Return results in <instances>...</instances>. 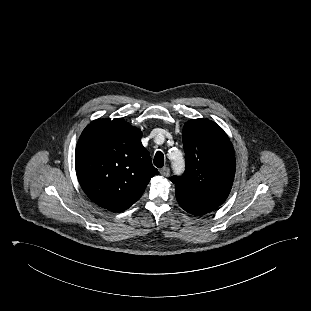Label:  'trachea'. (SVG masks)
Segmentation results:
<instances>
[{
	"label": "trachea",
	"instance_id": "1",
	"mask_svg": "<svg viewBox=\"0 0 311 311\" xmlns=\"http://www.w3.org/2000/svg\"><path fill=\"white\" fill-rule=\"evenodd\" d=\"M154 165L157 168H162L164 166V155L161 151H157L154 157Z\"/></svg>",
	"mask_w": 311,
	"mask_h": 311
}]
</instances>
